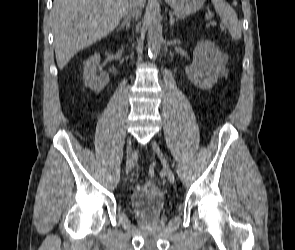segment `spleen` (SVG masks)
I'll list each match as a JSON object with an SVG mask.
<instances>
[{"label": "spleen", "mask_w": 295, "mask_h": 250, "mask_svg": "<svg viewBox=\"0 0 295 250\" xmlns=\"http://www.w3.org/2000/svg\"><path fill=\"white\" fill-rule=\"evenodd\" d=\"M224 25L228 28L234 40L241 38V25L235 10L225 0H211Z\"/></svg>", "instance_id": "obj_1"}]
</instances>
